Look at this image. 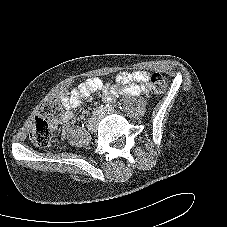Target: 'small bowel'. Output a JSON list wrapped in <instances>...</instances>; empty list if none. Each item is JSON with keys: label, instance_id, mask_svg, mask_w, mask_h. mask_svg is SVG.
<instances>
[{"label": "small bowel", "instance_id": "c3829d8e", "mask_svg": "<svg viewBox=\"0 0 227 227\" xmlns=\"http://www.w3.org/2000/svg\"><path fill=\"white\" fill-rule=\"evenodd\" d=\"M149 73L147 71L120 72L116 75L115 84L103 83L97 77H91L70 91L62 93L64 111L52 119L54 127L63 126V136L70 134L69 123L73 120V108L93 92L101 91L105 102H113L121 95L138 96L149 92Z\"/></svg>", "mask_w": 227, "mask_h": 227}]
</instances>
